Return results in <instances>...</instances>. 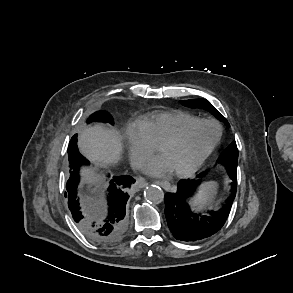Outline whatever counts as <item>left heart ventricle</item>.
I'll use <instances>...</instances> for the list:
<instances>
[{
  "label": "left heart ventricle",
  "mask_w": 293,
  "mask_h": 293,
  "mask_svg": "<svg viewBox=\"0 0 293 293\" xmlns=\"http://www.w3.org/2000/svg\"><path fill=\"white\" fill-rule=\"evenodd\" d=\"M217 135V128L211 124H198L192 127L184 138L173 146L159 150L173 171L191 166L211 145Z\"/></svg>",
  "instance_id": "b2bd125f"
}]
</instances>
